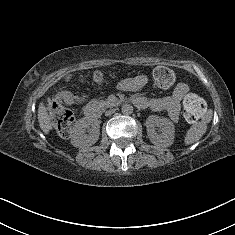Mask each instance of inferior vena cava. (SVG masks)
<instances>
[{"instance_id": "inferior-vena-cava-1", "label": "inferior vena cava", "mask_w": 235, "mask_h": 235, "mask_svg": "<svg viewBox=\"0 0 235 235\" xmlns=\"http://www.w3.org/2000/svg\"><path fill=\"white\" fill-rule=\"evenodd\" d=\"M105 113H106V115H111L112 113H114V110H108Z\"/></svg>"}]
</instances>
